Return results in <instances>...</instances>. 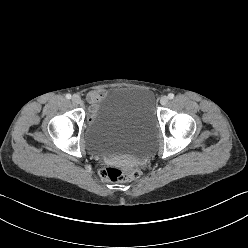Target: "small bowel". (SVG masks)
Wrapping results in <instances>:
<instances>
[{
  "mask_svg": "<svg viewBox=\"0 0 248 248\" xmlns=\"http://www.w3.org/2000/svg\"><path fill=\"white\" fill-rule=\"evenodd\" d=\"M105 93L102 90H96L89 93L88 97L93 106L104 97Z\"/></svg>",
  "mask_w": 248,
  "mask_h": 248,
  "instance_id": "obj_1",
  "label": "small bowel"
}]
</instances>
